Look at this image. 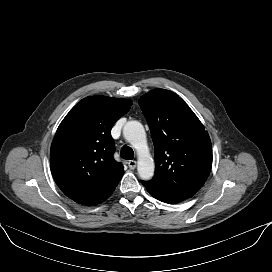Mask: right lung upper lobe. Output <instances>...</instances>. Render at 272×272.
<instances>
[{"mask_svg": "<svg viewBox=\"0 0 272 272\" xmlns=\"http://www.w3.org/2000/svg\"><path fill=\"white\" fill-rule=\"evenodd\" d=\"M131 105L127 99L89 96L59 125L50 150L51 172L62 192L76 203H87L123 175V165L113 158L110 131Z\"/></svg>", "mask_w": 272, "mask_h": 272, "instance_id": "right-lung-upper-lobe-1", "label": "right lung upper lobe"}]
</instances>
